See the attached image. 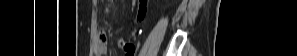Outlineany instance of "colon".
Masks as SVG:
<instances>
[{"label": "colon", "mask_w": 297, "mask_h": 56, "mask_svg": "<svg viewBox=\"0 0 297 56\" xmlns=\"http://www.w3.org/2000/svg\"><path fill=\"white\" fill-rule=\"evenodd\" d=\"M147 0L139 1V10H138V18L142 19L146 13Z\"/></svg>", "instance_id": "5ec220e1"}]
</instances>
